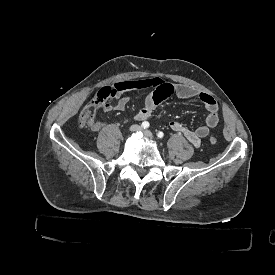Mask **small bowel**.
Here are the masks:
<instances>
[{"mask_svg": "<svg viewBox=\"0 0 275 275\" xmlns=\"http://www.w3.org/2000/svg\"><path fill=\"white\" fill-rule=\"evenodd\" d=\"M120 84L123 85V89L116 96V103L114 105L116 111H124L126 109L131 92L153 89L146 95L143 107L136 113L135 119L137 121H146L150 118L155 108L170 95H176L184 99L196 98L200 100L207 110L204 124L198 126L196 129H190L178 120H171L168 123L170 130L182 134L195 147H199L201 140L207 137L210 131L219 123V106L216 100L210 94L202 92L192 86L170 84L160 77L124 81ZM97 123L98 128L95 132L101 127L99 120Z\"/></svg>", "mask_w": 275, "mask_h": 275, "instance_id": "obj_1", "label": "small bowel"}]
</instances>
